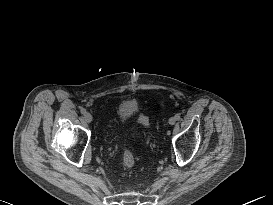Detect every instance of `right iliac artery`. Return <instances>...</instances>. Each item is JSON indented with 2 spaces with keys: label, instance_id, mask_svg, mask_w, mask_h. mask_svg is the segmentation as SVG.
<instances>
[{
  "label": "right iliac artery",
  "instance_id": "right-iliac-artery-1",
  "mask_svg": "<svg viewBox=\"0 0 273 205\" xmlns=\"http://www.w3.org/2000/svg\"><path fill=\"white\" fill-rule=\"evenodd\" d=\"M80 111H81L82 114H85V113H86V109L83 108V107H81Z\"/></svg>",
  "mask_w": 273,
  "mask_h": 205
}]
</instances>
